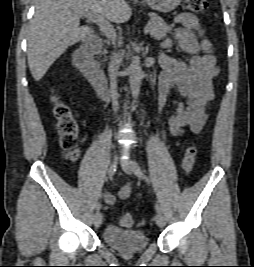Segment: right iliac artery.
I'll return each mask as SVG.
<instances>
[{"instance_id":"82829eb1","label":"right iliac artery","mask_w":254,"mask_h":267,"mask_svg":"<svg viewBox=\"0 0 254 267\" xmlns=\"http://www.w3.org/2000/svg\"><path fill=\"white\" fill-rule=\"evenodd\" d=\"M116 171V165H112L109 170H108V175H109V179H112L114 173ZM101 208V204L100 202H98L96 205H95V209L96 211L98 212Z\"/></svg>"}]
</instances>
